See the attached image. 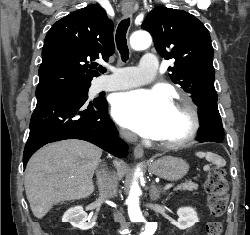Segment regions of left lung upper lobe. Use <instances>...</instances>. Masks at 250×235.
<instances>
[{"label":"left lung upper lobe","mask_w":250,"mask_h":235,"mask_svg":"<svg viewBox=\"0 0 250 235\" xmlns=\"http://www.w3.org/2000/svg\"><path fill=\"white\" fill-rule=\"evenodd\" d=\"M153 37L155 48L166 60L173 82L191 94L200 107L217 101L214 88L213 47L210 34L195 16L166 7L153 9L141 25Z\"/></svg>","instance_id":"obj_1"}]
</instances>
